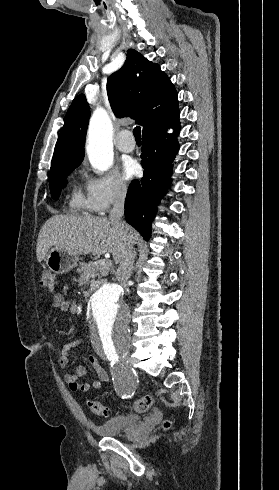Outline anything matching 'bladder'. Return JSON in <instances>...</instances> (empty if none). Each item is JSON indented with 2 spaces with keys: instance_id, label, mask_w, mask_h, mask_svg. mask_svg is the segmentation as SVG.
<instances>
[{
  "instance_id": "bladder-1",
  "label": "bladder",
  "mask_w": 279,
  "mask_h": 490,
  "mask_svg": "<svg viewBox=\"0 0 279 490\" xmlns=\"http://www.w3.org/2000/svg\"><path fill=\"white\" fill-rule=\"evenodd\" d=\"M140 421L138 415L124 413L98 424L95 431L100 437L122 435L124 431L136 429Z\"/></svg>"
}]
</instances>
